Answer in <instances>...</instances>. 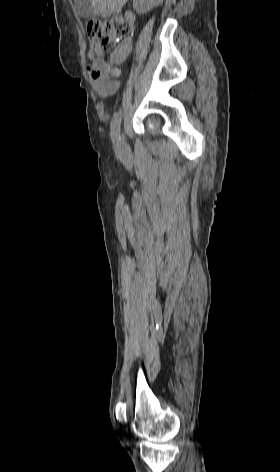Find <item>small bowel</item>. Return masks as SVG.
<instances>
[{"label": "small bowel", "mask_w": 280, "mask_h": 472, "mask_svg": "<svg viewBox=\"0 0 280 472\" xmlns=\"http://www.w3.org/2000/svg\"><path fill=\"white\" fill-rule=\"evenodd\" d=\"M132 49V40L123 39L109 59L104 57L103 50L92 48L88 52L91 64L87 66V73L93 90L102 98L112 96L120 86L121 69L119 65L126 60Z\"/></svg>", "instance_id": "obj_1"}]
</instances>
